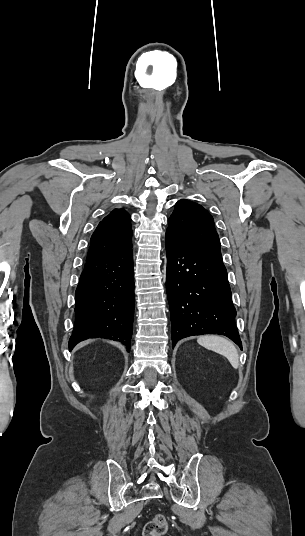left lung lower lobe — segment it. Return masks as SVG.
Here are the masks:
<instances>
[{
  "mask_svg": "<svg viewBox=\"0 0 305 536\" xmlns=\"http://www.w3.org/2000/svg\"><path fill=\"white\" fill-rule=\"evenodd\" d=\"M166 252L173 348L188 336L222 334L242 349L221 254L188 247L167 234Z\"/></svg>",
  "mask_w": 305,
  "mask_h": 536,
  "instance_id": "left-lung-lower-lobe-1",
  "label": "left lung lower lobe"
}]
</instances>
